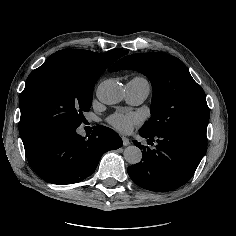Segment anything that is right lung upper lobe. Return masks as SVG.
Here are the masks:
<instances>
[{
	"label": "right lung upper lobe",
	"mask_w": 236,
	"mask_h": 236,
	"mask_svg": "<svg viewBox=\"0 0 236 236\" xmlns=\"http://www.w3.org/2000/svg\"><path fill=\"white\" fill-rule=\"evenodd\" d=\"M127 53L126 50H113L104 54H96L88 50L66 49L57 51L48 60L59 57L68 58L91 72L102 74L113 62Z\"/></svg>",
	"instance_id": "right-lung-upper-lobe-1"
}]
</instances>
